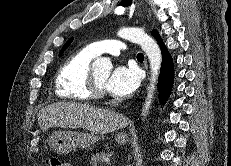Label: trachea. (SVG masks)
Returning <instances> with one entry per match:
<instances>
[{
    "mask_svg": "<svg viewBox=\"0 0 231 166\" xmlns=\"http://www.w3.org/2000/svg\"><path fill=\"white\" fill-rule=\"evenodd\" d=\"M137 60H144V54L143 53H138L137 54Z\"/></svg>",
    "mask_w": 231,
    "mask_h": 166,
    "instance_id": "3493384b",
    "label": "trachea"
}]
</instances>
